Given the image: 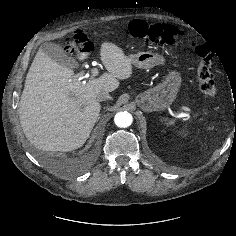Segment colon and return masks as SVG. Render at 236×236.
Listing matches in <instances>:
<instances>
[{
    "instance_id": "1",
    "label": "colon",
    "mask_w": 236,
    "mask_h": 236,
    "mask_svg": "<svg viewBox=\"0 0 236 236\" xmlns=\"http://www.w3.org/2000/svg\"><path fill=\"white\" fill-rule=\"evenodd\" d=\"M129 32L136 38L163 45L175 44L184 36L174 26L161 23L151 24L140 19L133 20L130 23ZM191 46L200 57L197 70L199 89L204 95L215 97L218 89L212 74L213 54L207 45L191 42ZM91 49L92 43L82 31L76 32L68 45L69 53L89 52Z\"/></svg>"
}]
</instances>
